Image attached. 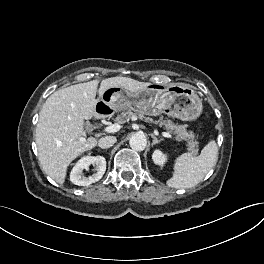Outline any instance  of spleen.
<instances>
[{"label":"spleen","mask_w":264,"mask_h":264,"mask_svg":"<svg viewBox=\"0 0 264 264\" xmlns=\"http://www.w3.org/2000/svg\"><path fill=\"white\" fill-rule=\"evenodd\" d=\"M217 159V144L213 140L204 146L199 156L183 153L176 158L173 175L167 185L177 189L194 187L213 168Z\"/></svg>","instance_id":"1"}]
</instances>
